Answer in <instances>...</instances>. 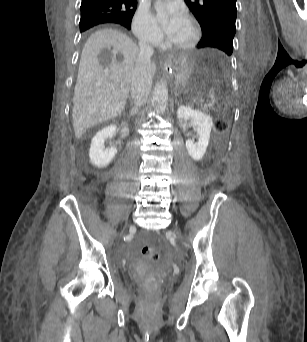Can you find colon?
Listing matches in <instances>:
<instances>
[{"instance_id": "obj_1", "label": "colon", "mask_w": 307, "mask_h": 342, "mask_svg": "<svg viewBox=\"0 0 307 342\" xmlns=\"http://www.w3.org/2000/svg\"><path fill=\"white\" fill-rule=\"evenodd\" d=\"M227 122L223 121V120H218L215 124V132L217 135H220L224 132L227 131ZM220 142V138L216 137L215 139V143H219ZM142 254L143 256L150 260L151 262L157 263L160 261V256L159 254L151 247V246H143L142 247Z\"/></svg>"}]
</instances>
